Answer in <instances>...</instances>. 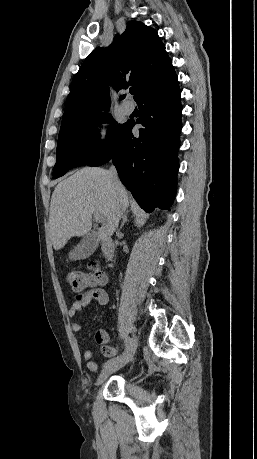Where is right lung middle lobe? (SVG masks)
I'll return each mask as SVG.
<instances>
[{
  "label": "right lung middle lobe",
  "instance_id": "dd1d6c3e",
  "mask_svg": "<svg viewBox=\"0 0 257 459\" xmlns=\"http://www.w3.org/2000/svg\"><path fill=\"white\" fill-rule=\"evenodd\" d=\"M110 118V114L102 113L59 134L53 179L64 175L71 168L92 163L111 150L125 124H118L116 128L112 125L107 139L100 141L97 127Z\"/></svg>",
  "mask_w": 257,
  "mask_h": 459
}]
</instances>
